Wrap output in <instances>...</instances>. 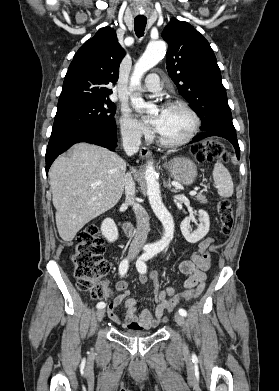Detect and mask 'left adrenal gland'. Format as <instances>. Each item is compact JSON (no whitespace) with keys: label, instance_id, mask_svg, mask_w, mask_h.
<instances>
[{"label":"left adrenal gland","instance_id":"obj_1","mask_svg":"<svg viewBox=\"0 0 279 391\" xmlns=\"http://www.w3.org/2000/svg\"><path fill=\"white\" fill-rule=\"evenodd\" d=\"M167 187H168L172 192H174V193L178 192L177 189H171L170 180H168Z\"/></svg>","mask_w":279,"mask_h":391}]
</instances>
